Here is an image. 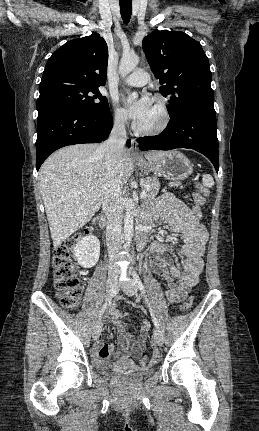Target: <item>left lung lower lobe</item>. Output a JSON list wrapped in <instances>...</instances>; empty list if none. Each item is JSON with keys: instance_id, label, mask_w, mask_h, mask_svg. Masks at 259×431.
<instances>
[{"instance_id": "left-lung-lower-lobe-1", "label": "left lung lower lobe", "mask_w": 259, "mask_h": 431, "mask_svg": "<svg viewBox=\"0 0 259 431\" xmlns=\"http://www.w3.org/2000/svg\"><path fill=\"white\" fill-rule=\"evenodd\" d=\"M216 113L187 109L170 116L166 129L157 136L138 139L140 150L188 148L205 155L219 170Z\"/></svg>"}]
</instances>
